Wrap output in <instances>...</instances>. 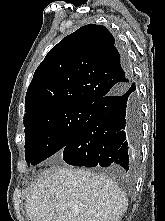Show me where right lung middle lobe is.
I'll return each mask as SVG.
<instances>
[{"instance_id": "right-lung-middle-lobe-1", "label": "right lung middle lobe", "mask_w": 165, "mask_h": 221, "mask_svg": "<svg viewBox=\"0 0 165 221\" xmlns=\"http://www.w3.org/2000/svg\"><path fill=\"white\" fill-rule=\"evenodd\" d=\"M92 105H65L38 112L24 120L25 159L36 165L62 151L91 115Z\"/></svg>"}]
</instances>
